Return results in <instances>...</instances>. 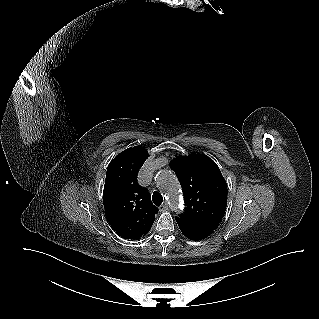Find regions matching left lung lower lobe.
Returning <instances> with one entry per match:
<instances>
[{
	"mask_svg": "<svg viewBox=\"0 0 319 319\" xmlns=\"http://www.w3.org/2000/svg\"><path fill=\"white\" fill-rule=\"evenodd\" d=\"M176 221L179 225L181 232L187 238H189L191 240H202V239L208 237L214 231L211 229L201 228V227L191 225V224L186 223L178 218H176Z\"/></svg>",
	"mask_w": 319,
	"mask_h": 319,
	"instance_id": "obj_1",
	"label": "left lung lower lobe"
}]
</instances>
